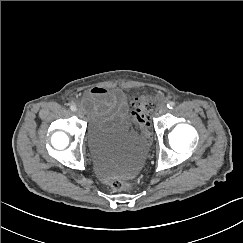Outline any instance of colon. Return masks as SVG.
I'll list each match as a JSON object with an SVG mask.
<instances>
[{
  "label": "colon",
  "mask_w": 243,
  "mask_h": 243,
  "mask_svg": "<svg viewBox=\"0 0 243 243\" xmlns=\"http://www.w3.org/2000/svg\"><path fill=\"white\" fill-rule=\"evenodd\" d=\"M132 120L136 127L148 135L150 130V119L154 107V101L145 96H139L132 103ZM111 187L114 191H126L132 187V183L127 180H115Z\"/></svg>",
  "instance_id": "obj_1"
}]
</instances>
